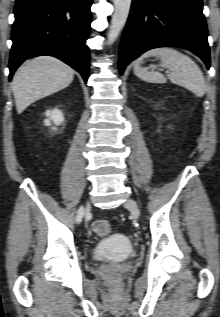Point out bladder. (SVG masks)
I'll return each instance as SVG.
<instances>
[{"instance_id":"31cf9c89","label":"bladder","mask_w":220,"mask_h":317,"mask_svg":"<svg viewBox=\"0 0 220 317\" xmlns=\"http://www.w3.org/2000/svg\"><path fill=\"white\" fill-rule=\"evenodd\" d=\"M133 255L130 240L122 233L114 232L101 238L93 248L95 260L122 261Z\"/></svg>"}]
</instances>
